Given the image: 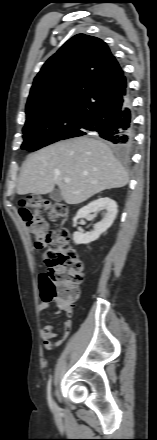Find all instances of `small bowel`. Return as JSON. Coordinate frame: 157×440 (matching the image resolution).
<instances>
[{
  "label": "small bowel",
  "mask_w": 157,
  "mask_h": 440,
  "mask_svg": "<svg viewBox=\"0 0 157 440\" xmlns=\"http://www.w3.org/2000/svg\"><path fill=\"white\" fill-rule=\"evenodd\" d=\"M48 308H49V305L47 302H42L38 306V309L41 312L46 311ZM69 329H70V322L67 321L65 323L64 336L62 338H57V334L54 333L52 326L51 325L45 326L40 332V335L43 340L45 348L50 350V349H52V347L59 345L62 342V340L65 338L67 333L69 332Z\"/></svg>",
  "instance_id": "1"
}]
</instances>
